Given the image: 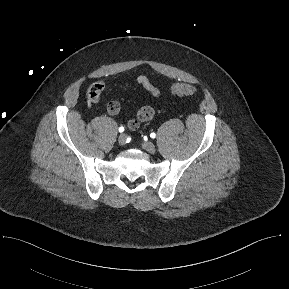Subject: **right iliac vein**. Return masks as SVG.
I'll return each mask as SVG.
<instances>
[{
	"instance_id": "right-iliac-vein-1",
	"label": "right iliac vein",
	"mask_w": 289,
	"mask_h": 289,
	"mask_svg": "<svg viewBox=\"0 0 289 289\" xmlns=\"http://www.w3.org/2000/svg\"><path fill=\"white\" fill-rule=\"evenodd\" d=\"M126 140H127V137L125 134H120L119 137H118V144L119 145H125L126 144Z\"/></svg>"
}]
</instances>
